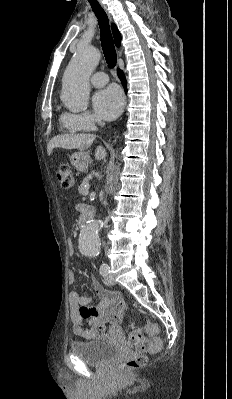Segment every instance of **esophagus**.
I'll return each instance as SVG.
<instances>
[{
  "instance_id": "1",
  "label": "esophagus",
  "mask_w": 232,
  "mask_h": 399,
  "mask_svg": "<svg viewBox=\"0 0 232 399\" xmlns=\"http://www.w3.org/2000/svg\"><path fill=\"white\" fill-rule=\"evenodd\" d=\"M98 2L102 5L103 9H104L105 12L107 13L108 18L111 20V15H110V13H109L107 7H106L104 4H102V0H98Z\"/></svg>"
}]
</instances>
